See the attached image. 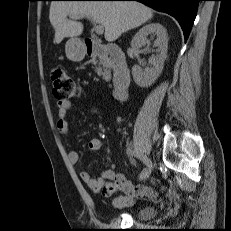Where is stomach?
<instances>
[{
  "label": "stomach",
  "mask_w": 231,
  "mask_h": 231,
  "mask_svg": "<svg viewBox=\"0 0 231 231\" xmlns=\"http://www.w3.org/2000/svg\"><path fill=\"white\" fill-rule=\"evenodd\" d=\"M65 52L69 60L79 62L85 56V46L80 39L72 37L66 42Z\"/></svg>",
  "instance_id": "obj_1"
}]
</instances>
